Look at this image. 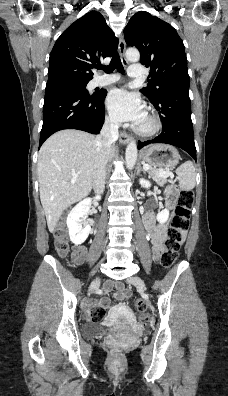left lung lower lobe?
Masks as SVG:
<instances>
[{"mask_svg":"<svg viewBox=\"0 0 228 396\" xmlns=\"http://www.w3.org/2000/svg\"><path fill=\"white\" fill-rule=\"evenodd\" d=\"M181 101L180 105H177ZM160 112L162 133L155 139L138 142V149L150 143H166L188 152L196 160L189 91L171 90L153 104Z\"/></svg>","mask_w":228,"mask_h":396,"instance_id":"0a47b994","label":"left lung lower lobe"}]
</instances>
